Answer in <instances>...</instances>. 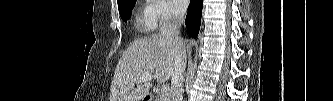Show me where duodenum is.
Segmentation results:
<instances>
[{"label":"duodenum","mask_w":333,"mask_h":101,"mask_svg":"<svg viewBox=\"0 0 333 101\" xmlns=\"http://www.w3.org/2000/svg\"><path fill=\"white\" fill-rule=\"evenodd\" d=\"M147 99L152 100L153 98L151 96H147Z\"/></svg>","instance_id":"410a0bca"}]
</instances>
